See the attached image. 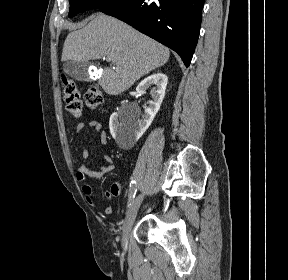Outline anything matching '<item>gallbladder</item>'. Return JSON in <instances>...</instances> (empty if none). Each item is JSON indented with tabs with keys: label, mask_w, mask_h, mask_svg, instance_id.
Returning <instances> with one entry per match:
<instances>
[{
	"label": "gallbladder",
	"mask_w": 288,
	"mask_h": 280,
	"mask_svg": "<svg viewBox=\"0 0 288 280\" xmlns=\"http://www.w3.org/2000/svg\"><path fill=\"white\" fill-rule=\"evenodd\" d=\"M90 63L88 61H67L63 65V71L66 75L74 78L78 81H89L90 76L88 74V67Z\"/></svg>",
	"instance_id": "obj_1"
}]
</instances>
